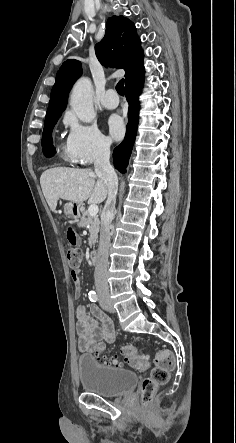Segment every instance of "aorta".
Segmentation results:
<instances>
[{
	"instance_id": "aorta-1",
	"label": "aorta",
	"mask_w": 236,
	"mask_h": 443,
	"mask_svg": "<svg viewBox=\"0 0 236 443\" xmlns=\"http://www.w3.org/2000/svg\"><path fill=\"white\" fill-rule=\"evenodd\" d=\"M93 87L89 78H81L72 89L70 105L76 116L85 123L96 118L92 102Z\"/></svg>"
}]
</instances>
